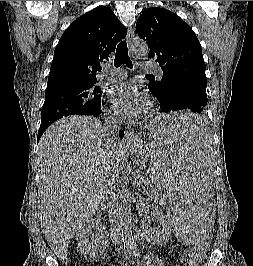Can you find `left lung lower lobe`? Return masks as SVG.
I'll use <instances>...</instances> for the list:
<instances>
[{
  "label": "left lung lower lobe",
  "instance_id": "left-lung-lower-lobe-1",
  "mask_svg": "<svg viewBox=\"0 0 253 266\" xmlns=\"http://www.w3.org/2000/svg\"><path fill=\"white\" fill-rule=\"evenodd\" d=\"M207 105L206 88L194 81H182L174 86L170 92L167 101L160 104L161 112H171L178 110H188L197 116L192 117L189 123L183 124L177 128V132L196 133L204 128V120L200 115L204 114Z\"/></svg>",
  "mask_w": 253,
  "mask_h": 266
}]
</instances>
